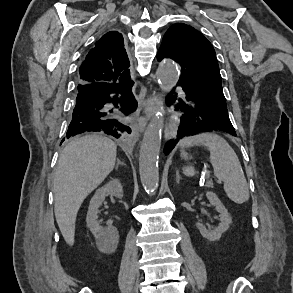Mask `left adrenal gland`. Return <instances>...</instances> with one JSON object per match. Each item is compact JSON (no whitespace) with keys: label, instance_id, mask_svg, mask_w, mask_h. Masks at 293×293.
I'll return each instance as SVG.
<instances>
[{"label":"left adrenal gland","instance_id":"obj_1","mask_svg":"<svg viewBox=\"0 0 293 293\" xmlns=\"http://www.w3.org/2000/svg\"><path fill=\"white\" fill-rule=\"evenodd\" d=\"M180 179H181V177H180V175H179V171L176 170V183H177V184H179Z\"/></svg>","mask_w":293,"mask_h":293}]
</instances>
